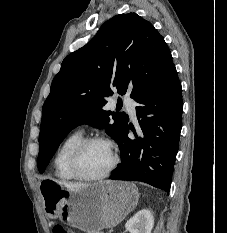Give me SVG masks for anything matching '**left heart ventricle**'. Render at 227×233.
I'll return each instance as SVG.
<instances>
[{
  "label": "left heart ventricle",
  "mask_w": 227,
  "mask_h": 233,
  "mask_svg": "<svg viewBox=\"0 0 227 233\" xmlns=\"http://www.w3.org/2000/svg\"><path fill=\"white\" fill-rule=\"evenodd\" d=\"M110 148L103 143H93L85 148L79 158V169L86 175L103 173L111 163Z\"/></svg>",
  "instance_id": "1"
}]
</instances>
